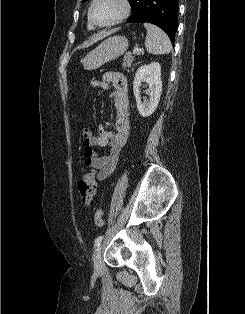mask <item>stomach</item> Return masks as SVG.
<instances>
[{
  "instance_id": "0dacf381",
  "label": "stomach",
  "mask_w": 245,
  "mask_h": 314,
  "mask_svg": "<svg viewBox=\"0 0 245 314\" xmlns=\"http://www.w3.org/2000/svg\"><path fill=\"white\" fill-rule=\"evenodd\" d=\"M127 49L128 39L126 37L112 36L89 52L82 60V64L86 70H95L120 57Z\"/></svg>"
}]
</instances>
